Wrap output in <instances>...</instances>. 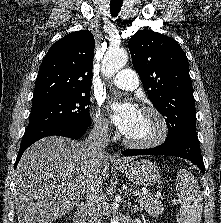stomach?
I'll list each match as a JSON object with an SVG mask.
<instances>
[{
	"label": "stomach",
	"instance_id": "0dacf381",
	"mask_svg": "<svg viewBox=\"0 0 221 223\" xmlns=\"http://www.w3.org/2000/svg\"><path fill=\"white\" fill-rule=\"evenodd\" d=\"M116 167L136 185L151 186L160 180L158 167L148 160L130 162L125 165H117Z\"/></svg>",
	"mask_w": 221,
	"mask_h": 223
}]
</instances>
